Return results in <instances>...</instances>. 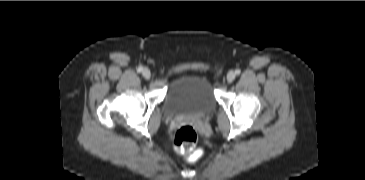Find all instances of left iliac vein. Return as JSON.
<instances>
[{"instance_id": "obj_1", "label": "left iliac vein", "mask_w": 365, "mask_h": 180, "mask_svg": "<svg viewBox=\"0 0 365 180\" xmlns=\"http://www.w3.org/2000/svg\"><path fill=\"white\" fill-rule=\"evenodd\" d=\"M236 78V73L234 71H229L227 74V81L229 83L233 82Z\"/></svg>"}]
</instances>
